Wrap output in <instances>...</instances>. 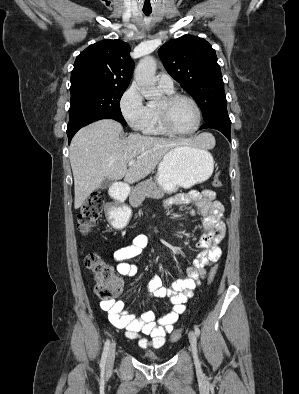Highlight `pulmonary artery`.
<instances>
[{"instance_id":"obj_1","label":"pulmonary artery","mask_w":299,"mask_h":394,"mask_svg":"<svg viewBox=\"0 0 299 394\" xmlns=\"http://www.w3.org/2000/svg\"><path fill=\"white\" fill-rule=\"evenodd\" d=\"M158 85L161 88L165 89H173V79L172 77L167 74V73H161L158 75Z\"/></svg>"}]
</instances>
